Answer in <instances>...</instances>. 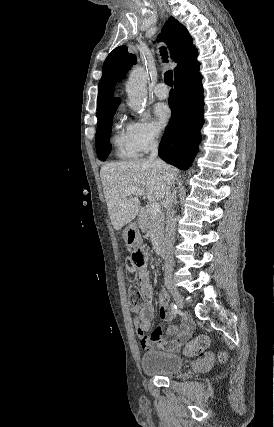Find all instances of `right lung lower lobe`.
I'll list each match as a JSON object with an SVG mask.
<instances>
[{"label": "right lung lower lobe", "instance_id": "1", "mask_svg": "<svg viewBox=\"0 0 274 427\" xmlns=\"http://www.w3.org/2000/svg\"><path fill=\"white\" fill-rule=\"evenodd\" d=\"M199 63L174 79L169 96L172 117L159 145V157L179 169H188L197 153L203 125L204 97Z\"/></svg>", "mask_w": 274, "mask_h": 427}]
</instances>
